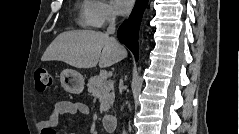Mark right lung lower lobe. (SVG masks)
Returning a JSON list of instances; mask_svg holds the SVG:
<instances>
[{"mask_svg": "<svg viewBox=\"0 0 239 134\" xmlns=\"http://www.w3.org/2000/svg\"><path fill=\"white\" fill-rule=\"evenodd\" d=\"M148 0H137V5L129 19L119 27L117 36L121 43L125 44L138 60V32L144 9Z\"/></svg>", "mask_w": 239, "mask_h": 134, "instance_id": "1", "label": "right lung lower lobe"}]
</instances>
